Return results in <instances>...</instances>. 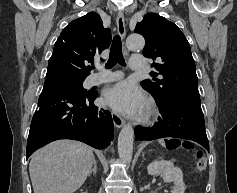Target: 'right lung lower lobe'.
Listing matches in <instances>:
<instances>
[{
  "mask_svg": "<svg viewBox=\"0 0 237 193\" xmlns=\"http://www.w3.org/2000/svg\"><path fill=\"white\" fill-rule=\"evenodd\" d=\"M97 92L79 94L61 85L44 86L27 140L26 158L58 139H73L94 148L109 146L114 136L111 113L93 105Z\"/></svg>",
  "mask_w": 237,
  "mask_h": 193,
  "instance_id": "98d812e1",
  "label": "right lung lower lobe"
}]
</instances>
